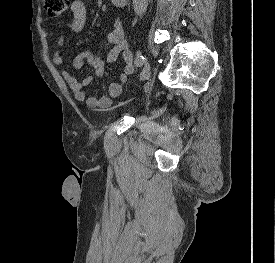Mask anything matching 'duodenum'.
<instances>
[{"label": "duodenum", "instance_id": "410a0bca", "mask_svg": "<svg viewBox=\"0 0 275 263\" xmlns=\"http://www.w3.org/2000/svg\"><path fill=\"white\" fill-rule=\"evenodd\" d=\"M111 1L116 7H123L126 5L128 0H111Z\"/></svg>", "mask_w": 275, "mask_h": 263}]
</instances>
